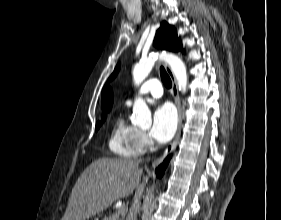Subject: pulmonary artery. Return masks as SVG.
<instances>
[{
    "label": "pulmonary artery",
    "mask_w": 281,
    "mask_h": 220,
    "mask_svg": "<svg viewBox=\"0 0 281 220\" xmlns=\"http://www.w3.org/2000/svg\"><path fill=\"white\" fill-rule=\"evenodd\" d=\"M163 90L160 82L156 78L147 80L139 89L138 95H150L153 98H159L162 96ZM131 100H128V104Z\"/></svg>",
    "instance_id": "e3ab8cb5"
}]
</instances>
